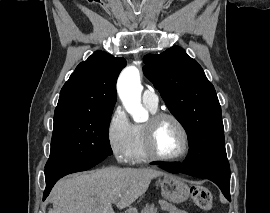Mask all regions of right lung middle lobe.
Here are the masks:
<instances>
[{"instance_id": "1", "label": "right lung middle lobe", "mask_w": 270, "mask_h": 213, "mask_svg": "<svg viewBox=\"0 0 270 213\" xmlns=\"http://www.w3.org/2000/svg\"><path fill=\"white\" fill-rule=\"evenodd\" d=\"M111 113L54 114L51 151L45 170L61 169L111 155L108 137Z\"/></svg>"}]
</instances>
